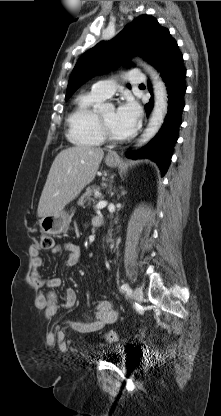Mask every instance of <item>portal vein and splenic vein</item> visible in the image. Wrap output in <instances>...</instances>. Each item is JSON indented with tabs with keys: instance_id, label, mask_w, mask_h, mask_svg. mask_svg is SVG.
I'll return each instance as SVG.
<instances>
[{
	"instance_id": "1",
	"label": "portal vein and splenic vein",
	"mask_w": 221,
	"mask_h": 416,
	"mask_svg": "<svg viewBox=\"0 0 221 416\" xmlns=\"http://www.w3.org/2000/svg\"><path fill=\"white\" fill-rule=\"evenodd\" d=\"M95 194L98 195L99 192H96ZM106 205H107V201L101 200L97 203L96 208L97 209H102V208L106 207Z\"/></svg>"
}]
</instances>
